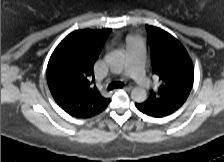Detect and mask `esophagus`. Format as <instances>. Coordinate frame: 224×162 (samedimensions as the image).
Listing matches in <instances>:
<instances>
[{"label":"esophagus","instance_id":"obj_1","mask_svg":"<svg viewBox=\"0 0 224 162\" xmlns=\"http://www.w3.org/2000/svg\"><path fill=\"white\" fill-rule=\"evenodd\" d=\"M123 89L126 91H130V87H124Z\"/></svg>","mask_w":224,"mask_h":162}]
</instances>
